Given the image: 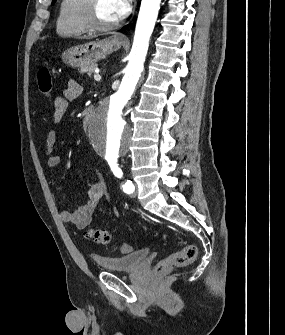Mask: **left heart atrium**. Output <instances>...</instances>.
I'll list each match as a JSON object with an SVG mask.
<instances>
[{
    "label": "left heart atrium",
    "mask_w": 285,
    "mask_h": 335,
    "mask_svg": "<svg viewBox=\"0 0 285 335\" xmlns=\"http://www.w3.org/2000/svg\"><path fill=\"white\" fill-rule=\"evenodd\" d=\"M131 1H112V9L115 22H118L128 13Z\"/></svg>",
    "instance_id": "obj_1"
}]
</instances>
